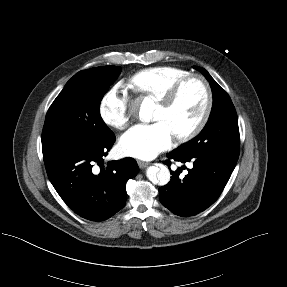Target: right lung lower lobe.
Returning a JSON list of instances; mask_svg holds the SVG:
<instances>
[{"label": "right lung lower lobe", "instance_id": "right-lung-lower-lobe-1", "mask_svg": "<svg viewBox=\"0 0 287 287\" xmlns=\"http://www.w3.org/2000/svg\"><path fill=\"white\" fill-rule=\"evenodd\" d=\"M115 142L112 133L96 145L70 149L44 157L48 178L63 201L79 216L103 221L117 213L126 202V182L138 171L135 159L125 158L103 165ZM101 166L100 172L93 169Z\"/></svg>", "mask_w": 287, "mask_h": 287}]
</instances>
